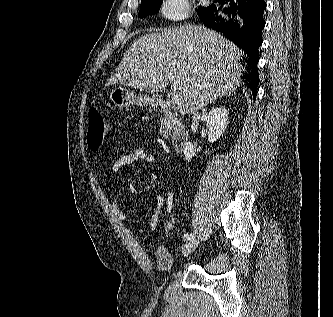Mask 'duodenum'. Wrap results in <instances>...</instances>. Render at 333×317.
<instances>
[{"instance_id": "1", "label": "duodenum", "mask_w": 333, "mask_h": 317, "mask_svg": "<svg viewBox=\"0 0 333 317\" xmlns=\"http://www.w3.org/2000/svg\"><path fill=\"white\" fill-rule=\"evenodd\" d=\"M152 102L153 105L158 107L166 117L170 115L171 105L168 101L161 97H154ZM187 139L188 134L184 128L176 126L173 129L171 134V144L175 151H182L186 145Z\"/></svg>"}]
</instances>
